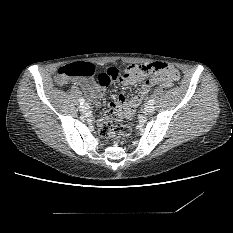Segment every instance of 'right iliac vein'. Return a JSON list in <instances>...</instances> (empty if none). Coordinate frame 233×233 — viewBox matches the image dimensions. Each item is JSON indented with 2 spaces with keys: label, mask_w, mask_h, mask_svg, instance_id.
<instances>
[{
  "label": "right iliac vein",
  "mask_w": 233,
  "mask_h": 233,
  "mask_svg": "<svg viewBox=\"0 0 233 233\" xmlns=\"http://www.w3.org/2000/svg\"><path fill=\"white\" fill-rule=\"evenodd\" d=\"M88 110H89V105H88V104H83V105L80 106V111H81L82 113H85V112H87Z\"/></svg>",
  "instance_id": "obj_1"
}]
</instances>
